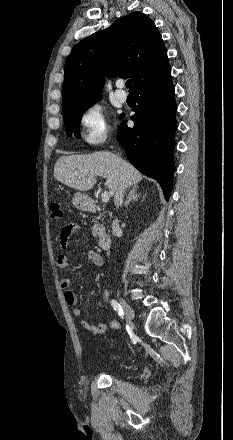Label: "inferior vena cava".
Returning <instances> with one entry per match:
<instances>
[{
  "label": "inferior vena cava",
  "instance_id": "inferior-vena-cava-1",
  "mask_svg": "<svg viewBox=\"0 0 233 440\" xmlns=\"http://www.w3.org/2000/svg\"><path fill=\"white\" fill-rule=\"evenodd\" d=\"M127 187L128 185L125 183V181L122 180L114 196V203L117 208L123 203L124 193ZM112 232L114 235H117L120 232V227L117 219L113 221Z\"/></svg>",
  "mask_w": 233,
  "mask_h": 440
}]
</instances>
